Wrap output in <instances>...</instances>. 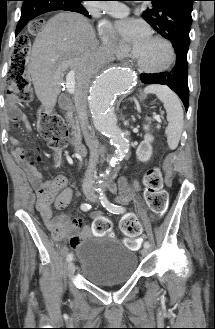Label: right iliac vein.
Instances as JSON below:
<instances>
[{"label":"right iliac vein","mask_w":215,"mask_h":329,"mask_svg":"<svg viewBox=\"0 0 215 329\" xmlns=\"http://www.w3.org/2000/svg\"><path fill=\"white\" fill-rule=\"evenodd\" d=\"M84 195H85L86 198H88V199H90L91 196H92V194H91V192H90L89 190L84 191ZM68 271H69V273H71V274L74 273V271H75V264H74L73 261H70V262H69V264H68Z\"/></svg>","instance_id":"right-iliac-vein-1"}]
</instances>
